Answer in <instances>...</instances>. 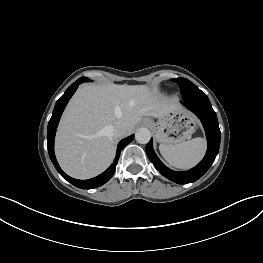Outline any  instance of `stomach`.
Masks as SVG:
<instances>
[{
    "mask_svg": "<svg viewBox=\"0 0 263 263\" xmlns=\"http://www.w3.org/2000/svg\"><path fill=\"white\" fill-rule=\"evenodd\" d=\"M155 132L156 140L161 144L173 145L189 139L198 126L197 119L188 111L179 109L157 122L146 119Z\"/></svg>",
    "mask_w": 263,
    "mask_h": 263,
    "instance_id": "obj_1",
    "label": "stomach"
}]
</instances>
